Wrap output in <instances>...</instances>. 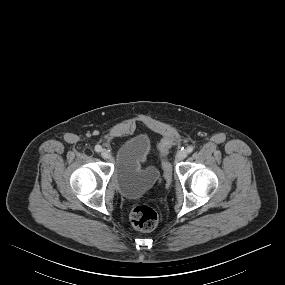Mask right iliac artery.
Instances as JSON below:
<instances>
[{"instance_id":"82829eb1","label":"right iliac artery","mask_w":285,"mask_h":285,"mask_svg":"<svg viewBox=\"0 0 285 285\" xmlns=\"http://www.w3.org/2000/svg\"><path fill=\"white\" fill-rule=\"evenodd\" d=\"M102 150V147L100 145L95 146V151L100 152Z\"/></svg>"}]
</instances>
